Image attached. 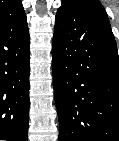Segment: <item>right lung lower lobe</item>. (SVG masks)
Wrapping results in <instances>:
<instances>
[{
    "label": "right lung lower lobe",
    "instance_id": "1",
    "mask_svg": "<svg viewBox=\"0 0 119 141\" xmlns=\"http://www.w3.org/2000/svg\"><path fill=\"white\" fill-rule=\"evenodd\" d=\"M29 32L26 15L0 19V139L27 141Z\"/></svg>",
    "mask_w": 119,
    "mask_h": 141
}]
</instances>
